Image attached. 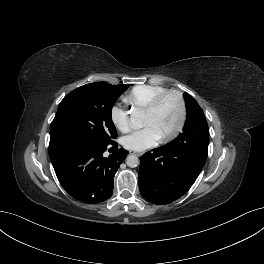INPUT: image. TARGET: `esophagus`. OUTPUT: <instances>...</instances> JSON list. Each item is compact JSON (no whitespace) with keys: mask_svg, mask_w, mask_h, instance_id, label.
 Segmentation results:
<instances>
[{"mask_svg":"<svg viewBox=\"0 0 264 264\" xmlns=\"http://www.w3.org/2000/svg\"><path fill=\"white\" fill-rule=\"evenodd\" d=\"M130 153H131V154H135V155H137V156H141V155H142V153H139V152H131V151H130Z\"/></svg>","mask_w":264,"mask_h":264,"instance_id":"1","label":"esophagus"}]
</instances>
